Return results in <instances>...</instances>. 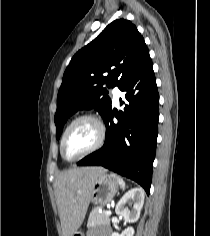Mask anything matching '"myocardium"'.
Segmentation results:
<instances>
[{"mask_svg": "<svg viewBox=\"0 0 210 236\" xmlns=\"http://www.w3.org/2000/svg\"><path fill=\"white\" fill-rule=\"evenodd\" d=\"M81 120H90L92 121L97 129H98V137L96 142L94 143V145L92 147H90L88 150H86L85 152H83L82 154H80L79 156L72 158V159H68L65 157L64 155V151H63V147H64V141L65 138L69 132V130L71 129V127L81 121ZM106 139V128L105 125L103 124V122L94 114H82L80 116H77L76 118H74L66 127V129L64 130L61 140H60V154L62 156V158L67 161V162H75L78 161L82 158H84L85 156L95 152L96 150H98L105 142Z\"/></svg>", "mask_w": 210, "mask_h": 236, "instance_id": "myocardium-1", "label": "myocardium"}]
</instances>
